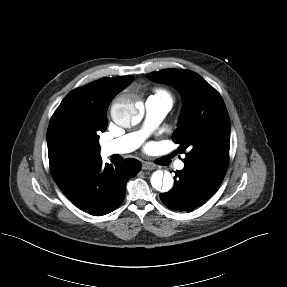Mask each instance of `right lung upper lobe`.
<instances>
[{"instance_id":"1","label":"right lung upper lobe","mask_w":287,"mask_h":287,"mask_svg":"<svg viewBox=\"0 0 287 287\" xmlns=\"http://www.w3.org/2000/svg\"><path fill=\"white\" fill-rule=\"evenodd\" d=\"M133 80L132 76L101 78L73 90L51 117L47 130L50 170L65 195L101 160L100 145L93 142L89 125H107L111 100Z\"/></svg>"}]
</instances>
